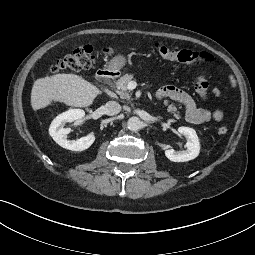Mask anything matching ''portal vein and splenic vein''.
<instances>
[{"label": "portal vein and splenic vein", "instance_id": "18ae733b", "mask_svg": "<svg viewBox=\"0 0 255 255\" xmlns=\"http://www.w3.org/2000/svg\"><path fill=\"white\" fill-rule=\"evenodd\" d=\"M135 87H136V83H135L134 81L129 82L128 85H127V89H128V90H132V89H134ZM117 88H118V87H117Z\"/></svg>", "mask_w": 255, "mask_h": 255}]
</instances>
